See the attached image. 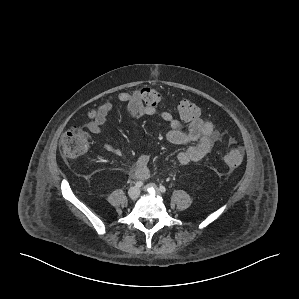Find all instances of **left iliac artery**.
<instances>
[{
	"label": "left iliac artery",
	"instance_id": "obj_1",
	"mask_svg": "<svg viewBox=\"0 0 299 299\" xmlns=\"http://www.w3.org/2000/svg\"><path fill=\"white\" fill-rule=\"evenodd\" d=\"M159 190L162 192V193H165L166 192V188L163 186V185H160L159 186ZM149 192H152V189H148Z\"/></svg>",
	"mask_w": 299,
	"mask_h": 299
}]
</instances>
